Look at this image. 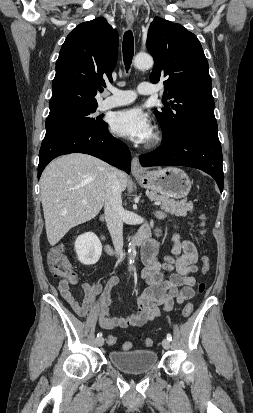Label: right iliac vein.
Listing matches in <instances>:
<instances>
[{
    "instance_id": "obj_1",
    "label": "right iliac vein",
    "mask_w": 253,
    "mask_h": 413,
    "mask_svg": "<svg viewBox=\"0 0 253 413\" xmlns=\"http://www.w3.org/2000/svg\"><path fill=\"white\" fill-rule=\"evenodd\" d=\"M95 342H96V345L97 346H102L103 344H104V338L101 336V337H98L96 340H95Z\"/></svg>"
}]
</instances>
